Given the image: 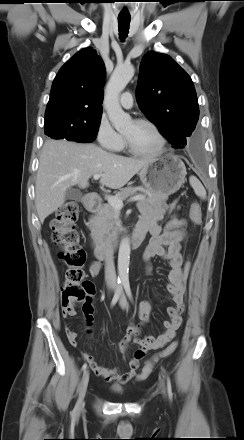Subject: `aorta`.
<instances>
[{"instance_id": "aorta-1", "label": "aorta", "mask_w": 244, "mask_h": 440, "mask_svg": "<svg viewBox=\"0 0 244 440\" xmlns=\"http://www.w3.org/2000/svg\"><path fill=\"white\" fill-rule=\"evenodd\" d=\"M134 76V67L130 64L117 66L107 84L104 98V107L109 120L117 131H122L130 123V116L123 111L119 103V96L126 85ZM130 263V243L124 238L119 247L118 253V275L121 282L128 281Z\"/></svg>"}]
</instances>
